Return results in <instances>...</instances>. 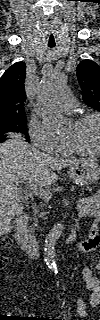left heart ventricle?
I'll list each match as a JSON object with an SVG mask.
<instances>
[{
	"instance_id": "obj_1",
	"label": "left heart ventricle",
	"mask_w": 100,
	"mask_h": 320,
	"mask_svg": "<svg viewBox=\"0 0 100 320\" xmlns=\"http://www.w3.org/2000/svg\"><path fill=\"white\" fill-rule=\"evenodd\" d=\"M65 137L72 138L82 147L90 150L97 149L99 145V126L95 120H88L80 126L72 123L65 133Z\"/></svg>"
}]
</instances>
